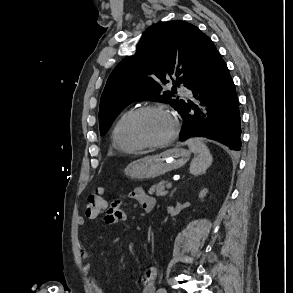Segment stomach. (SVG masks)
I'll return each instance as SVG.
<instances>
[{
	"label": "stomach",
	"mask_w": 293,
	"mask_h": 293,
	"mask_svg": "<svg viewBox=\"0 0 293 293\" xmlns=\"http://www.w3.org/2000/svg\"><path fill=\"white\" fill-rule=\"evenodd\" d=\"M189 158L188 150L172 148L157 155L135 160L128 164L124 171L133 179H154L182 167Z\"/></svg>",
	"instance_id": "obj_1"
}]
</instances>
